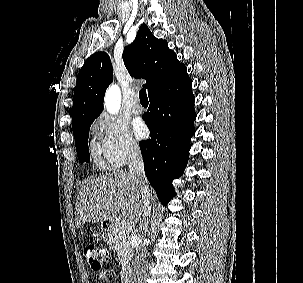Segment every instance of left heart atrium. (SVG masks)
I'll return each instance as SVG.
<instances>
[{
	"label": "left heart atrium",
	"instance_id": "obj_1",
	"mask_svg": "<svg viewBox=\"0 0 303 283\" xmlns=\"http://www.w3.org/2000/svg\"><path fill=\"white\" fill-rule=\"evenodd\" d=\"M133 129L138 138H144L146 136L147 128L141 120L135 122Z\"/></svg>",
	"mask_w": 303,
	"mask_h": 283
}]
</instances>
